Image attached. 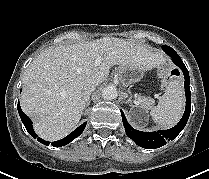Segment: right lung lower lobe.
<instances>
[{
    "instance_id": "obj_1",
    "label": "right lung lower lobe",
    "mask_w": 209,
    "mask_h": 179,
    "mask_svg": "<svg viewBox=\"0 0 209 179\" xmlns=\"http://www.w3.org/2000/svg\"><path fill=\"white\" fill-rule=\"evenodd\" d=\"M17 108H18L20 118H21L26 130L30 133V135L33 138H36L40 143L49 146L50 142L45 141L36 135V133L34 132L33 127H32V121L30 120V118L26 114L23 113V111L20 108L19 103H18ZM85 126H86V122L83 123L81 126H79L77 129H75L72 133H70L65 138L55 141V142H52L51 143L52 146L53 147H61V146L67 145L68 143H70L72 140L77 138L83 132Z\"/></svg>"
}]
</instances>
